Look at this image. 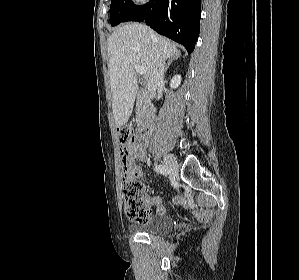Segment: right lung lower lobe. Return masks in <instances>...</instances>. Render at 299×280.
<instances>
[{
	"instance_id": "1",
	"label": "right lung lower lobe",
	"mask_w": 299,
	"mask_h": 280,
	"mask_svg": "<svg viewBox=\"0 0 299 280\" xmlns=\"http://www.w3.org/2000/svg\"><path fill=\"white\" fill-rule=\"evenodd\" d=\"M201 0H150L136 6L125 21H145L152 29L183 44L190 54L200 31Z\"/></svg>"
}]
</instances>
